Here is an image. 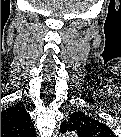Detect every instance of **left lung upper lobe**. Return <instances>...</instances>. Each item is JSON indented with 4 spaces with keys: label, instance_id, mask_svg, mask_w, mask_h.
<instances>
[{
    "label": "left lung upper lobe",
    "instance_id": "1",
    "mask_svg": "<svg viewBox=\"0 0 121 137\" xmlns=\"http://www.w3.org/2000/svg\"><path fill=\"white\" fill-rule=\"evenodd\" d=\"M69 124H62L60 130L62 133L67 130L76 131L78 134L110 137L113 135L112 130L98 120L84 114L81 111L73 113Z\"/></svg>",
    "mask_w": 121,
    "mask_h": 137
}]
</instances>
